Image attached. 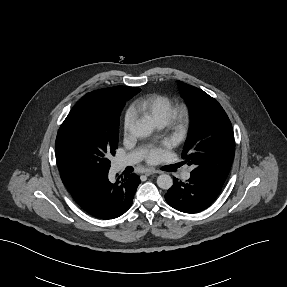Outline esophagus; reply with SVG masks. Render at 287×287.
<instances>
[{"label":"esophagus","mask_w":287,"mask_h":287,"mask_svg":"<svg viewBox=\"0 0 287 287\" xmlns=\"http://www.w3.org/2000/svg\"><path fill=\"white\" fill-rule=\"evenodd\" d=\"M162 172L159 171V170H154V169H147L144 171V174L149 176V175H152V174H161Z\"/></svg>","instance_id":"34e87169"}]
</instances>
